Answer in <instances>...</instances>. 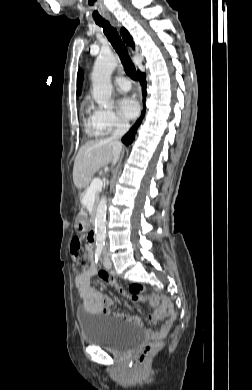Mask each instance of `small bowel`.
I'll list each match as a JSON object with an SVG mask.
<instances>
[{
	"label": "small bowel",
	"instance_id": "1",
	"mask_svg": "<svg viewBox=\"0 0 252 390\" xmlns=\"http://www.w3.org/2000/svg\"><path fill=\"white\" fill-rule=\"evenodd\" d=\"M96 273V267L91 265L86 271L79 273L75 277V286L79 291V296L81 299L82 307L84 310L90 313L106 314L114 316L129 322V323H140L141 319L137 315H128L122 312H112L110 307L113 304V301L110 297L105 296L97 289L93 288L90 285L91 277ZM102 279H104L109 284L115 285V280L108 276L107 274H101ZM118 292L123 296H128L133 300H150L152 305L155 306L156 310L151 315L150 319L153 323H158L159 321H164L159 329L149 330V334L152 338L162 336L168 332L171 328L172 323L175 319V312L172 302L164 296H150L147 293L141 292L137 295H128L123 289L121 290L120 286L116 285Z\"/></svg>",
	"mask_w": 252,
	"mask_h": 390
}]
</instances>
